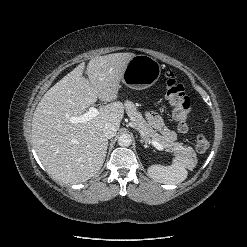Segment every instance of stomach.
Returning <instances> with one entry per match:
<instances>
[{"instance_id":"stomach-1","label":"stomach","mask_w":247,"mask_h":247,"mask_svg":"<svg viewBox=\"0 0 247 247\" xmlns=\"http://www.w3.org/2000/svg\"><path fill=\"white\" fill-rule=\"evenodd\" d=\"M161 75L160 64L147 55H135L125 68L121 82L135 90H143L155 84Z\"/></svg>"}]
</instances>
